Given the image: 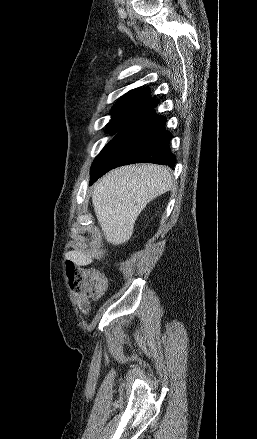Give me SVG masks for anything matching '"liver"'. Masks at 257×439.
I'll return each instance as SVG.
<instances>
[{
  "mask_svg": "<svg viewBox=\"0 0 257 439\" xmlns=\"http://www.w3.org/2000/svg\"><path fill=\"white\" fill-rule=\"evenodd\" d=\"M171 186L169 168L153 164L123 166L101 178L94 186L92 203L107 242H127L146 205ZM66 257L80 266L92 262L90 255L79 251H70Z\"/></svg>",
  "mask_w": 257,
  "mask_h": 439,
  "instance_id": "1",
  "label": "liver"
}]
</instances>
